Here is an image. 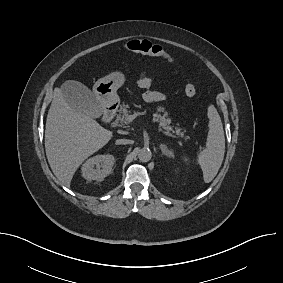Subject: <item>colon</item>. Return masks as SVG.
Masks as SVG:
<instances>
[{
  "instance_id": "colon-1",
  "label": "colon",
  "mask_w": 283,
  "mask_h": 283,
  "mask_svg": "<svg viewBox=\"0 0 283 283\" xmlns=\"http://www.w3.org/2000/svg\"><path fill=\"white\" fill-rule=\"evenodd\" d=\"M124 48L132 53L143 54L162 58L171 62L172 56L168 54L161 46L152 43L147 39H133L124 44ZM186 96L192 98L196 95V87L193 83L188 82L184 87Z\"/></svg>"
}]
</instances>
